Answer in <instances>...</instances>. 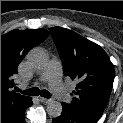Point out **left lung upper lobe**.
<instances>
[{
    "label": "left lung upper lobe",
    "instance_id": "left-lung-upper-lobe-1",
    "mask_svg": "<svg viewBox=\"0 0 123 123\" xmlns=\"http://www.w3.org/2000/svg\"><path fill=\"white\" fill-rule=\"evenodd\" d=\"M67 76L77 82L71 111L97 121L113 86L114 68L106 52L96 43L61 27L49 29Z\"/></svg>",
    "mask_w": 123,
    "mask_h": 123
}]
</instances>
